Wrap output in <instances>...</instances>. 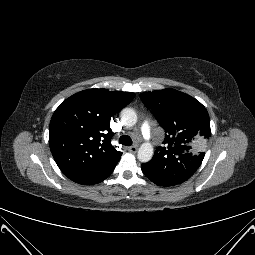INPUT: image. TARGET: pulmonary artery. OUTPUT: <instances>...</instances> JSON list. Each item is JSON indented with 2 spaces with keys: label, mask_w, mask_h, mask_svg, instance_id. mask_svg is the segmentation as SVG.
Returning a JSON list of instances; mask_svg holds the SVG:
<instances>
[{
  "label": "pulmonary artery",
  "mask_w": 255,
  "mask_h": 255,
  "mask_svg": "<svg viewBox=\"0 0 255 255\" xmlns=\"http://www.w3.org/2000/svg\"><path fill=\"white\" fill-rule=\"evenodd\" d=\"M142 135L146 140H149L151 137V128L148 121H144L141 126Z\"/></svg>",
  "instance_id": "pulmonary-artery-1"
}]
</instances>
